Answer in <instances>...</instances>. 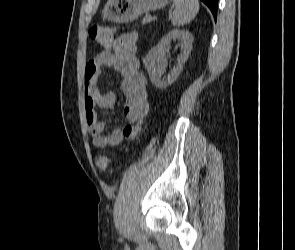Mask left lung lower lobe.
<instances>
[{"mask_svg":"<svg viewBox=\"0 0 295 250\" xmlns=\"http://www.w3.org/2000/svg\"><path fill=\"white\" fill-rule=\"evenodd\" d=\"M203 3H205L209 9L211 10L214 19L217 18V7H218V0H201Z\"/></svg>","mask_w":295,"mask_h":250,"instance_id":"1","label":"left lung lower lobe"}]
</instances>
